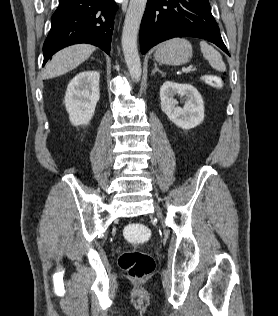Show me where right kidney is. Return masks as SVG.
<instances>
[{"label": "right kidney", "mask_w": 278, "mask_h": 316, "mask_svg": "<svg viewBox=\"0 0 278 316\" xmlns=\"http://www.w3.org/2000/svg\"><path fill=\"white\" fill-rule=\"evenodd\" d=\"M100 74L94 70L78 73L68 84L65 106L74 126L87 125L100 98Z\"/></svg>", "instance_id": "ca27d5eb"}]
</instances>
